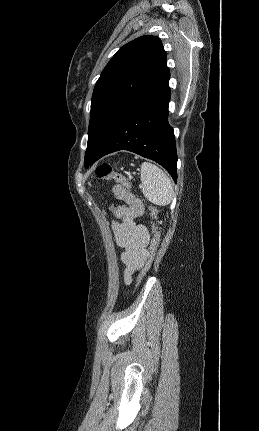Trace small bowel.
<instances>
[{
	"instance_id": "small-bowel-1",
	"label": "small bowel",
	"mask_w": 259,
	"mask_h": 431,
	"mask_svg": "<svg viewBox=\"0 0 259 431\" xmlns=\"http://www.w3.org/2000/svg\"><path fill=\"white\" fill-rule=\"evenodd\" d=\"M112 228L117 244L124 249L121 254L124 282L130 284L133 275L147 261L149 232L146 226L135 223V220L120 219L113 222Z\"/></svg>"
}]
</instances>
